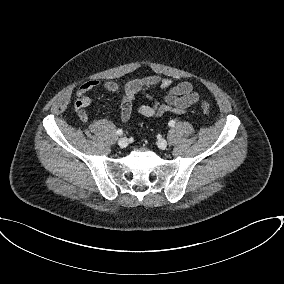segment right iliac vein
<instances>
[{"instance_id": "right-iliac-vein-1", "label": "right iliac vein", "mask_w": 284, "mask_h": 284, "mask_svg": "<svg viewBox=\"0 0 284 284\" xmlns=\"http://www.w3.org/2000/svg\"><path fill=\"white\" fill-rule=\"evenodd\" d=\"M118 145L121 147V148H125L128 146V139L125 138V137H122L118 140Z\"/></svg>"}]
</instances>
